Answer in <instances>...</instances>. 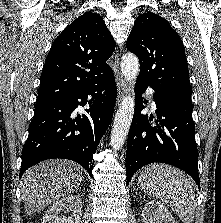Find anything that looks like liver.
I'll use <instances>...</instances> for the list:
<instances>
[{
  "label": "liver",
  "instance_id": "liver-1",
  "mask_svg": "<svg viewBox=\"0 0 221 223\" xmlns=\"http://www.w3.org/2000/svg\"><path fill=\"white\" fill-rule=\"evenodd\" d=\"M82 172L73 161L53 159L29 168L21 181V194L27 214L32 216L77 190Z\"/></svg>",
  "mask_w": 221,
  "mask_h": 223
}]
</instances>
